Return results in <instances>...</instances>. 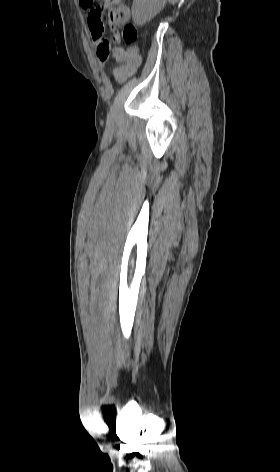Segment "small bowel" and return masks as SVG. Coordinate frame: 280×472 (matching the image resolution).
<instances>
[{
    "mask_svg": "<svg viewBox=\"0 0 280 472\" xmlns=\"http://www.w3.org/2000/svg\"><path fill=\"white\" fill-rule=\"evenodd\" d=\"M79 2L83 9H87L84 7L82 0H79ZM106 7L109 8L108 25L112 35L110 37L105 35L103 22L96 25L88 22L90 35L96 49V55L101 63H104L109 55L112 54L118 63L114 71L115 81L117 83H123L135 73L141 63L136 52L129 54L126 49L119 45L121 38L119 28L130 20L131 11L128 5L122 0L108 4Z\"/></svg>",
    "mask_w": 280,
    "mask_h": 472,
    "instance_id": "c3829d8e",
    "label": "small bowel"
}]
</instances>
